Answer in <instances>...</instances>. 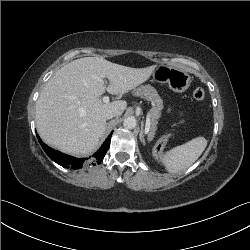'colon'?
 I'll use <instances>...</instances> for the list:
<instances>
[{
    "label": "colon",
    "instance_id": "5ec220e1",
    "mask_svg": "<svg viewBox=\"0 0 250 250\" xmlns=\"http://www.w3.org/2000/svg\"><path fill=\"white\" fill-rule=\"evenodd\" d=\"M205 97V92L202 88H196L193 91V98L196 101H201ZM170 139V135L163 136L158 144L154 147V149L151 151V156L154 159H157V162L159 164H164L166 162V157L162 155L165 152V145L167 144L168 140Z\"/></svg>",
    "mask_w": 250,
    "mask_h": 250
}]
</instances>
